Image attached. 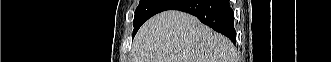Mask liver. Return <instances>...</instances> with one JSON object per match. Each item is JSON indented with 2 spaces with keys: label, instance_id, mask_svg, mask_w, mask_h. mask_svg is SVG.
Instances as JSON below:
<instances>
[{
  "label": "liver",
  "instance_id": "1",
  "mask_svg": "<svg viewBox=\"0 0 331 62\" xmlns=\"http://www.w3.org/2000/svg\"><path fill=\"white\" fill-rule=\"evenodd\" d=\"M133 62H235V48L225 36L180 11H165L139 29Z\"/></svg>",
  "mask_w": 331,
  "mask_h": 62
}]
</instances>
